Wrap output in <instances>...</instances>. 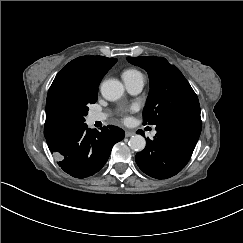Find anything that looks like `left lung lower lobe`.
Returning <instances> with one entry per match:
<instances>
[{
    "label": "left lung lower lobe",
    "instance_id": "0a47b994",
    "mask_svg": "<svg viewBox=\"0 0 243 243\" xmlns=\"http://www.w3.org/2000/svg\"><path fill=\"white\" fill-rule=\"evenodd\" d=\"M202 122L172 119L156 125L157 134L135 156L139 168L156 179H167L179 173L191 158L201 133Z\"/></svg>",
    "mask_w": 243,
    "mask_h": 243
}]
</instances>
